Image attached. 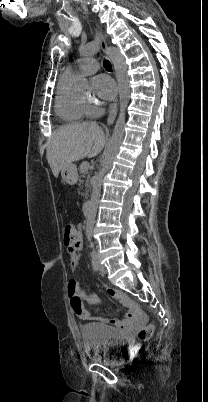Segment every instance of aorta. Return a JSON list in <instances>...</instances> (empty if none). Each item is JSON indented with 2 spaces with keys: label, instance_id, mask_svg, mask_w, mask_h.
Segmentation results:
<instances>
[{
  "label": "aorta",
  "instance_id": "762f6f07",
  "mask_svg": "<svg viewBox=\"0 0 208 402\" xmlns=\"http://www.w3.org/2000/svg\"><path fill=\"white\" fill-rule=\"evenodd\" d=\"M106 56H108L109 60H111L114 70L116 80L118 82L119 88V100H120V110L118 120L116 122V126L113 130L112 138L104 152L103 158V169L98 172L96 175V180L94 181L92 198L90 202V210L89 215L86 218V239L85 242L88 244L90 249L95 247V244L92 242L95 223L97 221L96 212L99 204V198L102 196V186H103V176L106 171L110 169L112 166V162H114V158H116L118 154V150L120 148V144L123 140L124 128H125V114L126 108L129 104L130 100V84H129V76L127 74V66L125 64V58L122 56L119 48H115V46H109L106 48Z\"/></svg>",
  "mask_w": 208,
  "mask_h": 402
}]
</instances>
